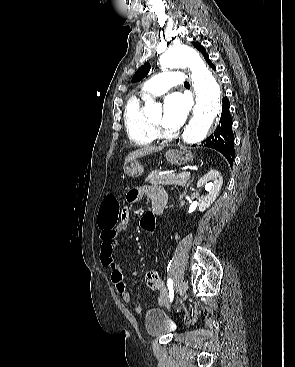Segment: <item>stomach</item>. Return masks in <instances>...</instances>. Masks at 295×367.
<instances>
[{"label": "stomach", "instance_id": "obj_1", "mask_svg": "<svg viewBox=\"0 0 295 367\" xmlns=\"http://www.w3.org/2000/svg\"><path fill=\"white\" fill-rule=\"evenodd\" d=\"M165 156L173 165H184L193 159L192 153L187 150H169ZM124 172L131 178H137L143 174L144 169L139 162L131 161L124 166Z\"/></svg>", "mask_w": 295, "mask_h": 367}]
</instances>
